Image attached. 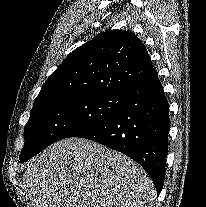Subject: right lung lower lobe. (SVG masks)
Masks as SVG:
<instances>
[{"instance_id": "98d812e1", "label": "right lung lower lobe", "mask_w": 206, "mask_h": 207, "mask_svg": "<svg viewBox=\"0 0 206 207\" xmlns=\"http://www.w3.org/2000/svg\"><path fill=\"white\" fill-rule=\"evenodd\" d=\"M124 95L122 107L113 116L76 137L98 142L138 162L159 194L165 179L170 119L157 72L130 87Z\"/></svg>"}]
</instances>
